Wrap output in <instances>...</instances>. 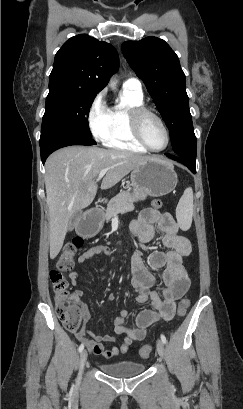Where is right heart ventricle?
<instances>
[{"label":"right heart ventricle","instance_id":"right-heart-ventricle-1","mask_svg":"<svg viewBox=\"0 0 243 409\" xmlns=\"http://www.w3.org/2000/svg\"><path fill=\"white\" fill-rule=\"evenodd\" d=\"M121 97V104L115 105L111 109L113 129L106 138L105 144L114 149L146 153L148 150L134 138L129 124V111L134 107L143 106V93H136L123 88Z\"/></svg>","mask_w":243,"mask_h":409}]
</instances>
